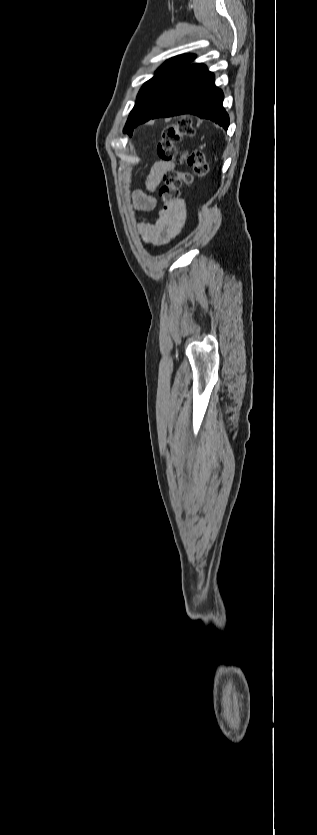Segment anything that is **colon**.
Segmentation results:
<instances>
[{"label": "colon", "mask_w": 317, "mask_h": 835, "mask_svg": "<svg viewBox=\"0 0 317 835\" xmlns=\"http://www.w3.org/2000/svg\"><path fill=\"white\" fill-rule=\"evenodd\" d=\"M194 134L192 122L187 117L181 118L176 124L166 127L162 132L156 149L158 157L164 161L177 160L178 163H186L190 167V171L172 170L164 174L159 195L165 209L179 203L180 190L184 185H190L196 179L203 178L209 173V165L201 150L193 149L183 154L178 151V144Z\"/></svg>", "instance_id": "colon-1"}]
</instances>
